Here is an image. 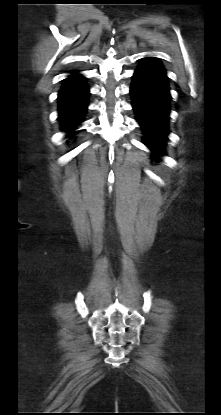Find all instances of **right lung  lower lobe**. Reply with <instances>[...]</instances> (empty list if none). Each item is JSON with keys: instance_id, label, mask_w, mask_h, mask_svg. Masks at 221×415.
<instances>
[{"instance_id": "98d812e1", "label": "right lung lower lobe", "mask_w": 221, "mask_h": 415, "mask_svg": "<svg viewBox=\"0 0 221 415\" xmlns=\"http://www.w3.org/2000/svg\"><path fill=\"white\" fill-rule=\"evenodd\" d=\"M72 75L64 79L58 94V120L63 131L73 136L78 125L81 124L88 107L89 87L84 77L72 71Z\"/></svg>"}]
</instances>
